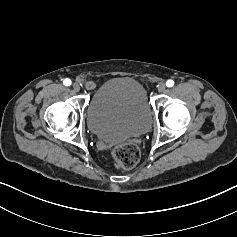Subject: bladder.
<instances>
[{"mask_svg": "<svg viewBox=\"0 0 237 237\" xmlns=\"http://www.w3.org/2000/svg\"><path fill=\"white\" fill-rule=\"evenodd\" d=\"M86 122L97 137L116 141L142 135L152 112L143 85L132 77H114L98 86L86 107Z\"/></svg>", "mask_w": 237, "mask_h": 237, "instance_id": "1", "label": "bladder"}]
</instances>
